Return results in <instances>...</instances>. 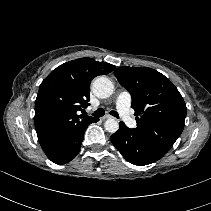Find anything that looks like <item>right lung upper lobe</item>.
Segmentation results:
<instances>
[{
    "label": "right lung upper lobe",
    "mask_w": 211,
    "mask_h": 211,
    "mask_svg": "<svg viewBox=\"0 0 211 211\" xmlns=\"http://www.w3.org/2000/svg\"><path fill=\"white\" fill-rule=\"evenodd\" d=\"M114 69L109 63L80 58L60 65L43 80L35 101L34 123L44 152L96 119L78 115V111L89 105L91 80Z\"/></svg>",
    "instance_id": "1"
}]
</instances>
